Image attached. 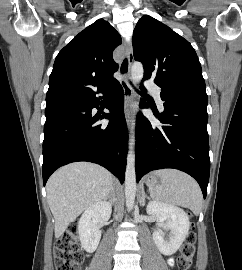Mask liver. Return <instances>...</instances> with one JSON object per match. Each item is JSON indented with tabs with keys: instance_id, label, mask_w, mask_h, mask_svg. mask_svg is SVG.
I'll return each instance as SVG.
<instances>
[{
	"instance_id": "obj_1",
	"label": "liver",
	"mask_w": 242,
	"mask_h": 270,
	"mask_svg": "<svg viewBox=\"0 0 242 270\" xmlns=\"http://www.w3.org/2000/svg\"><path fill=\"white\" fill-rule=\"evenodd\" d=\"M113 175L105 168L88 162H76L58 169L46 185L47 200L55 219V237L84 210L106 199L114 189Z\"/></svg>"
}]
</instances>
